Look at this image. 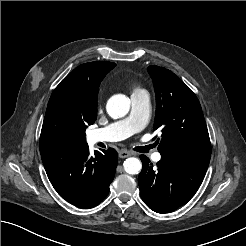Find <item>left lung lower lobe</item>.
I'll use <instances>...</instances> for the list:
<instances>
[{"mask_svg": "<svg viewBox=\"0 0 246 246\" xmlns=\"http://www.w3.org/2000/svg\"><path fill=\"white\" fill-rule=\"evenodd\" d=\"M143 164L138 177L140 194L149 208L169 213L187 203L201 185L210 155L164 152L157 167L141 155Z\"/></svg>", "mask_w": 246, "mask_h": 246, "instance_id": "0a47b994", "label": "left lung lower lobe"}]
</instances>
